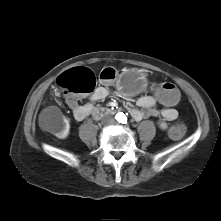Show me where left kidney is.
Instances as JSON below:
<instances>
[{
    "label": "left kidney",
    "mask_w": 221,
    "mask_h": 221,
    "mask_svg": "<svg viewBox=\"0 0 221 221\" xmlns=\"http://www.w3.org/2000/svg\"><path fill=\"white\" fill-rule=\"evenodd\" d=\"M158 125H159V127H160L161 129H163V130H166V129L168 128L167 123L164 122V121L158 122Z\"/></svg>",
    "instance_id": "5707ae66"
}]
</instances>
